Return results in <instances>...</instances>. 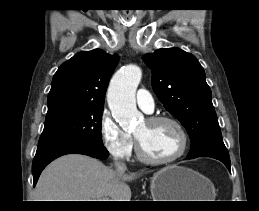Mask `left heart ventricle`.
<instances>
[{
  "mask_svg": "<svg viewBox=\"0 0 259 211\" xmlns=\"http://www.w3.org/2000/svg\"><path fill=\"white\" fill-rule=\"evenodd\" d=\"M144 151L154 158L170 157L177 152L180 138L176 128L169 123L142 122L134 132Z\"/></svg>",
  "mask_w": 259,
  "mask_h": 211,
  "instance_id": "left-heart-ventricle-1",
  "label": "left heart ventricle"
}]
</instances>
